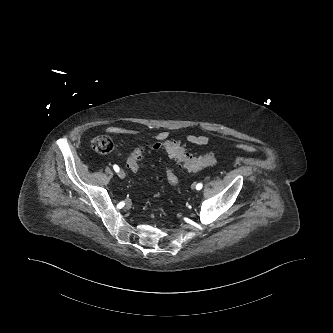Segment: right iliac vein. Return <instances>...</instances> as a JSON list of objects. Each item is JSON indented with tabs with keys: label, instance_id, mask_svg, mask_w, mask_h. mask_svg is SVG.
Listing matches in <instances>:
<instances>
[{
	"label": "right iliac vein",
	"instance_id": "1",
	"mask_svg": "<svg viewBox=\"0 0 333 333\" xmlns=\"http://www.w3.org/2000/svg\"><path fill=\"white\" fill-rule=\"evenodd\" d=\"M118 176H119V178L124 179V178L126 177V174H125V172L121 169V170L118 171Z\"/></svg>",
	"mask_w": 333,
	"mask_h": 333
}]
</instances>
